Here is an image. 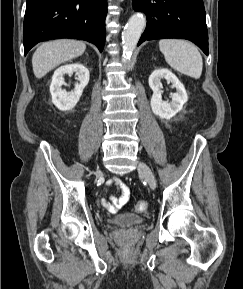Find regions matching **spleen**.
Here are the masks:
<instances>
[{
    "label": "spleen",
    "instance_id": "3e777b00",
    "mask_svg": "<svg viewBox=\"0 0 243 289\" xmlns=\"http://www.w3.org/2000/svg\"><path fill=\"white\" fill-rule=\"evenodd\" d=\"M159 48L173 69L195 79L200 78L203 61L195 45L180 39H162Z\"/></svg>",
    "mask_w": 243,
    "mask_h": 289
}]
</instances>
